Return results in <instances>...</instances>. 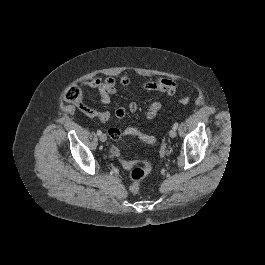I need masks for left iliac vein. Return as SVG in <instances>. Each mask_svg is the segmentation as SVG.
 Here are the masks:
<instances>
[{
	"label": "left iliac vein",
	"mask_w": 265,
	"mask_h": 265,
	"mask_svg": "<svg viewBox=\"0 0 265 265\" xmlns=\"http://www.w3.org/2000/svg\"><path fill=\"white\" fill-rule=\"evenodd\" d=\"M176 135H177L176 129H171L170 132H169V136L171 138H175Z\"/></svg>",
	"instance_id": "left-iliac-vein-1"
}]
</instances>
